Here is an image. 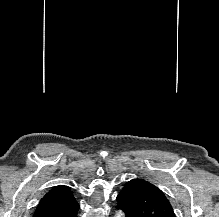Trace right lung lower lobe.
Instances as JSON below:
<instances>
[{
  "label": "right lung lower lobe",
  "instance_id": "obj_1",
  "mask_svg": "<svg viewBox=\"0 0 219 217\" xmlns=\"http://www.w3.org/2000/svg\"><path fill=\"white\" fill-rule=\"evenodd\" d=\"M68 217H77V211L76 212H73L71 213Z\"/></svg>",
  "mask_w": 219,
  "mask_h": 217
}]
</instances>
